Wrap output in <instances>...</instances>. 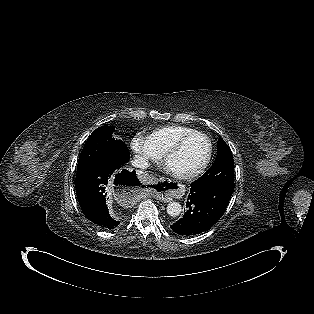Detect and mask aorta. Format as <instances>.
I'll return each mask as SVG.
<instances>
[{
	"instance_id": "1",
	"label": "aorta",
	"mask_w": 314,
	"mask_h": 314,
	"mask_svg": "<svg viewBox=\"0 0 314 314\" xmlns=\"http://www.w3.org/2000/svg\"><path fill=\"white\" fill-rule=\"evenodd\" d=\"M167 213L169 216L171 217H177L180 215L181 211H182V207L180 205V203L178 202H170L167 205Z\"/></svg>"
}]
</instances>
